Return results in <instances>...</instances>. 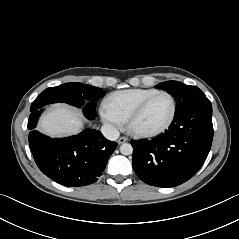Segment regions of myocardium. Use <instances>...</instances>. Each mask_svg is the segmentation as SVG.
<instances>
[{"instance_id":"obj_1","label":"myocardium","mask_w":239,"mask_h":239,"mask_svg":"<svg viewBox=\"0 0 239 239\" xmlns=\"http://www.w3.org/2000/svg\"><path fill=\"white\" fill-rule=\"evenodd\" d=\"M159 95H166L168 96L171 101H172V113L171 116L169 118V120L159 129L157 130H153V131H137L134 129L133 124L134 121L140 116V114L143 112V110L145 109V107L148 105V103L153 100L156 96ZM177 102L175 97L168 91L165 90H158L156 92H154L153 94L147 96L145 99H143L130 113V115L127 118V127L129 132L139 138H153V137H157L163 133H165L173 124V122L175 121L176 115H177Z\"/></svg>"}]
</instances>
